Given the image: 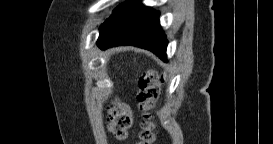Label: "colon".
<instances>
[{
  "label": "colon",
  "mask_w": 273,
  "mask_h": 144,
  "mask_svg": "<svg viewBox=\"0 0 273 144\" xmlns=\"http://www.w3.org/2000/svg\"><path fill=\"white\" fill-rule=\"evenodd\" d=\"M163 78L158 72L151 71L144 75L140 83L138 100L143 105L151 104L160 93ZM109 130L118 139H125L127 130L131 125L132 116L129 108L123 103H114L109 109ZM141 143L149 144L155 141L152 124L146 121L140 135Z\"/></svg>",
  "instance_id": "1"
}]
</instances>
